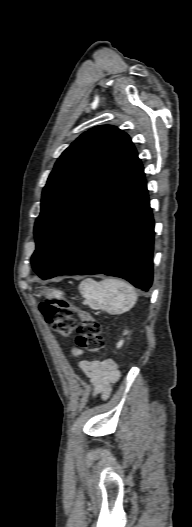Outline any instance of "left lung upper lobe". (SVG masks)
I'll use <instances>...</instances> for the list:
<instances>
[{
    "label": "left lung upper lobe",
    "instance_id": "5c2ea615",
    "mask_svg": "<svg viewBox=\"0 0 192 527\" xmlns=\"http://www.w3.org/2000/svg\"><path fill=\"white\" fill-rule=\"evenodd\" d=\"M129 136L115 126H96L60 156L43 189L34 234L32 267L44 275L65 251L91 212L138 161Z\"/></svg>",
    "mask_w": 192,
    "mask_h": 527
}]
</instances>
